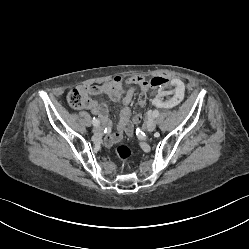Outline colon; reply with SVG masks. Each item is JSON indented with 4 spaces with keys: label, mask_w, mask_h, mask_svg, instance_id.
Listing matches in <instances>:
<instances>
[{
    "label": "colon",
    "mask_w": 249,
    "mask_h": 249,
    "mask_svg": "<svg viewBox=\"0 0 249 249\" xmlns=\"http://www.w3.org/2000/svg\"><path fill=\"white\" fill-rule=\"evenodd\" d=\"M167 82V78L164 76H154L150 80V85L152 87H158L162 86ZM147 94L141 93L138 100V105L140 108L145 106L146 103ZM67 101L71 108L75 110H79L84 107L86 103V97L85 95L79 90V89H73L71 90L67 95ZM140 119V114L135 115V120ZM115 153L117 157L122 160L123 162H126L131 157V150L123 144H120L116 146Z\"/></svg>",
    "instance_id": "5ec220e1"
}]
</instances>
